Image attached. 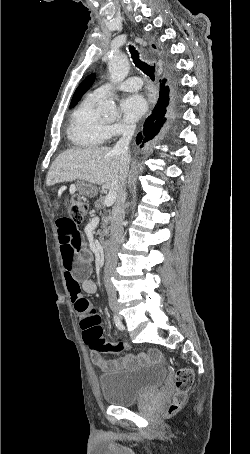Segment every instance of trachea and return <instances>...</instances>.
Listing matches in <instances>:
<instances>
[{
  "label": "trachea",
  "instance_id": "trachea-1",
  "mask_svg": "<svg viewBox=\"0 0 250 454\" xmlns=\"http://www.w3.org/2000/svg\"><path fill=\"white\" fill-rule=\"evenodd\" d=\"M133 62L137 68H139L144 74L150 77L152 81L155 80V67L147 64L139 58L138 51L133 47H129Z\"/></svg>",
  "mask_w": 250,
  "mask_h": 454
}]
</instances>
